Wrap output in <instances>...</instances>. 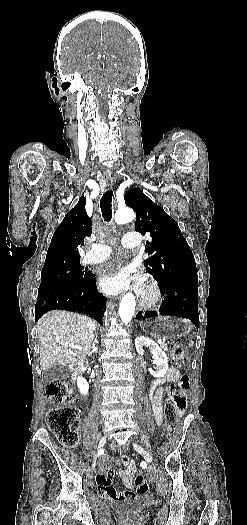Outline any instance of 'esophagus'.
<instances>
[{
    "mask_svg": "<svg viewBox=\"0 0 247 525\" xmlns=\"http://www.w3.org/2000/svg\"><path fill=\"white\" fill-rule=\"evenodd\" d=\"M110 183L113 184L114 181H113V180H110ZM142 316H143V312H142L141 310H138V311L136 312V317L141 318Z\"/></svg>",
    "mask_w": 247,
    "mask_h": 525,
    "instance_id": "obj_1",
    "label": "esophagus"
}]
</instances>
